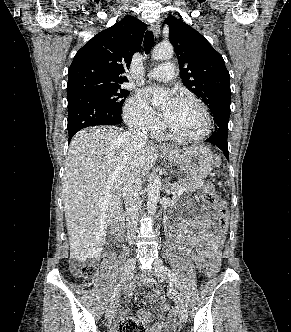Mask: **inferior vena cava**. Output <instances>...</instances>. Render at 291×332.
<instances>
[{"mask_svg":"<svg viewBox=\"0 0 291 332\" xmlns=\"http://www.w3.org/2000/svg\"><path fill=\"white\" fill-rule=\"evenodd\" d=\"M128 135L131 148L128 150V165L122 178V193L125 203L127 234L131 244L137 232L140 190L142 188L138 171V156L139 150L147 142V133L140 131V129H130Z\"/></svg>","mask_w":291,"mask_h":332,"instance_id":"1","label":"inferior vena cava"}]
</instances>
